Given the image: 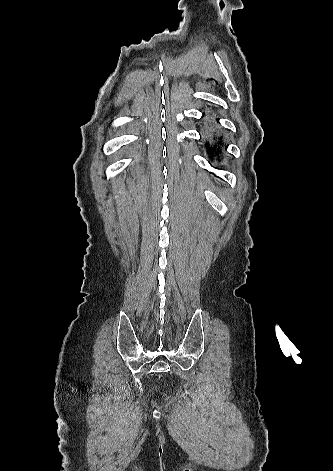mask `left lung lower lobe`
Listing matches in <instances>:
<instances>
[{
    "label": "left lung lower lobe",
    "mask_w": 333,
    "mask_h": 471,
    "mask_svg": "<svg viewBox=\"0 0 333 471\" xmlns=\"http://www.w3.org/2000/svg\"><path fill=\"white\" fill-rule=\"evenodd\" d=\"M222 137L218 134L212 124H209L206 131L205 149L208 154L218 158L221 154Z\"/></svg>",
    "instance_id": "obj_1"
}]
</instances>
